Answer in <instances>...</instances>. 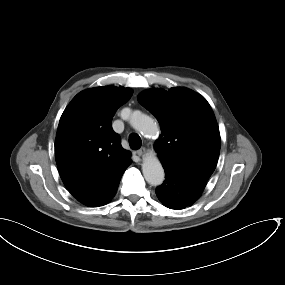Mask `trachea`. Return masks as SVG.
Returning <instances> with one entry per match:
<instances>
[{
	"label": "trachea",
	"instance_id": "1",
	"mask_svg": "<svg viewBox=\"0 0 285 285\" xmlns=\"http://www.w3.org/2000/svg\"><path fill=\"white\" fill-rule=\"evenodd\" d=\"M129 145L132 149L137 150L141 147L142 141L138 134L132 133L129 136Z\"/></svg>",
	"mask_w": 285,
	"mask_h": 285
}]
</instances>
